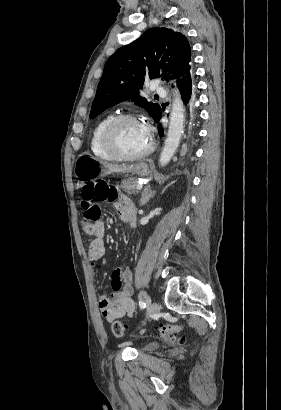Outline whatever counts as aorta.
<instances>
[{"label":"aorta","instance_id":"762f6f07","mask_svg":"<svg viewBox=\"0 0 281 410\" xmlns=\"http://www.w3.org/2000/svg\"><path fill=\"white\" fill-rule=\"evenodd\" d=\"M184 105L179 91L176 89L170 113V123L165 145L160 154L159 163L167 165L174 156L184 132Z\"/></svg>","mask_w":281,"mask_h":410}]
</instances>
